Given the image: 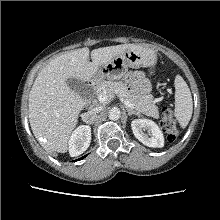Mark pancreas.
<instances>
[{
  "label": "pancreas",
  "mask_w": 220,
  "mask_h": 220,
  "mask_svg": "<svg viewBox=\"0 0 220 220\" xmlns=\"http://www.w3.org/2000/svg\"><path fill=\"white\" fill-rule=\"evenodd\" d=\"M107 94L112 99L117 95L120 100H126L134 104V107L139 112L151 116L153 118L159 117L158 107L155 105L153 96L142 94L134 89H129L128 86L119 81H102L97 90V95Z\"/></svg>",
  "instance_id": "cf45deb5"
}]
</instances>
